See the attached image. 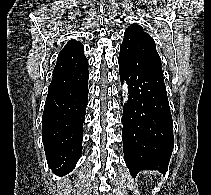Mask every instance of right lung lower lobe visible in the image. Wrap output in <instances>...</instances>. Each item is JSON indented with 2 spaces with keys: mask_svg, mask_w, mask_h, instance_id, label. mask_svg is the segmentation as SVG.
I'll return each mask as SVG.
<instances>
[{
  "mask_svg": "<svg viewBox=\"0 0 211 195\" xmlns=\"http://www.w3.org/2000/svg\"><path fill=\"white\" fill-rule=\"evenodd\" d=\"M88 64L55 76L42 116V140L49 168L58 176L71 172L82 152L88 95Z\"/></svg>",
  "mask_w": 211,
  "mask_h": 195,
  "instance_id": "obj_1",
  "label": "right lung lower lobe"
}]
</instances>
